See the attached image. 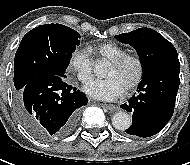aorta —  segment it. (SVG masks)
<instances>
[{
	"instance_id": "aorta-1",
	"label": "aorta",
	"mask_w": 190,
	"mask_h": 165,
	"mask_svg": "<svg viewBox=\"0 0 190 165\" xmlns=\"http://www.w3.org/2000/svg\"><path fill=\"white\" fill-rule=\"evenodd\" d=\"M102 69L103 64H97L95 67V73L99 75ZM112 125L118 130H126L131 126V117L126 112H117L112 118Z\"/></svg>"
}]
</instances>
